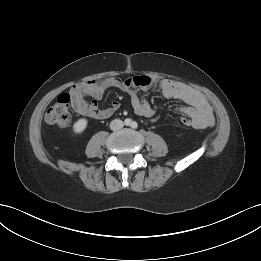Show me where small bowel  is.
<instances>
[{
    "label": "small bowel",
    "instance_id": "obj_1",
    "mask_svg": "<svg viewBox=\"0 0 261 261\" xmlns=\"http://www.w3.org/2000/svg\"><path fill=\"white\" fill-rule=\"evenodd\" d=\"M109 88H117L130 95L134 112L139 116L152 117L155 114L148 100L138 95V91L158 90L168 99L181 100L187 104L178 109L179 113L192 121L196 129H205L214 125L213 110L206 98L197 90L171 79H156L146 75L131 76L126 79L108 77L99 81L79 83L69 90L72 108L78 114L92 119H106L120 107L118 101L111 106L99 109L96 100H100ZM92 97L94 101H86Z\"/></svg>",
    "mask_w": 261,
    "mask_h": 261
}]
</instances>
